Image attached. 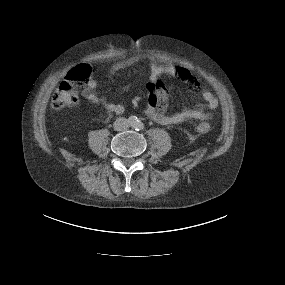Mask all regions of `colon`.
Returning a JSON list of instances; mask_svg holds the SVG:
<instances>
[{
	"instance_id": "colon-1",
	"label": "colon",
	"mask_w": 285,
	"mask_h": 285,
	"mask_svg": "<svg viewBox=\"0 0 285 285\" xmlns=\"http://www.w3.org/2000/svg\"><path fill=\"white\" fill-rule=\"evenodd\" d=\"M179 76L191 78V74L183 69H178ZM91 75V68L87 64H80L74 67L66 79L60 83L51 99V106L60 110L75 106L79 102V93L81 87L86 85ZM198 134L206 133L209 130L208 123L202 122L195 127Z\"/></svg>"
}]
</instances>
